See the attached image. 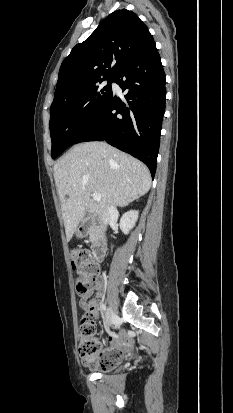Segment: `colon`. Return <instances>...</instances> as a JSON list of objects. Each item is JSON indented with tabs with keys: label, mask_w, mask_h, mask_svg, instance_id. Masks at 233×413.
<instances>
[{
	"label": "colon",
	"mask_w": 233,
	"mask_h": 413,
	"mask_svg": "<svg viewBox=\"0 0 233 413\" xmlns=\"http://www.w3.org/2000/svg\"><path fill=\"white\" fill-rule=\"evenodd\" d=\"M71 263L77 272L76 290L83 296L94 289L98 265L91 259L90 253L85 249H75L71 252ZM79 355L83 362L90 368L108 370L121 360L120 354H109L100 357V344L96 338L94 314L87 312L80 324Z\"/></svg>",
	"instance_id": "1"
}]
</instances>
